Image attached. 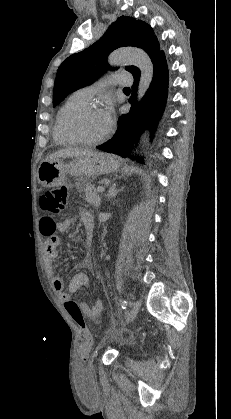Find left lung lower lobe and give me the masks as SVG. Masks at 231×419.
Here are the masks:
<instances>
[{"instance_id":"obj_1","label":"left lung lower lobe","mask_w":231,"mask_h":419,"mask_svg":"<svg viewBox=\"0 0 231 419\" xmlns=\"http://www.w3.org/2000/svg\"><path fill=\"white\" fill-rule=\"evenodd\" d=\"M153 67L152 82L139 104H137L136 93L140 73L133 76L132 96L129 99L132 105L130 112L119 117L116 134L111 140L98 146V149L126 157L137 138V132L145 128L154 131L159 116L164 110L168 91V67L163 51L153 60ZM136 123H138L137 130H135Z\"/></svg>"}]
</instances>
